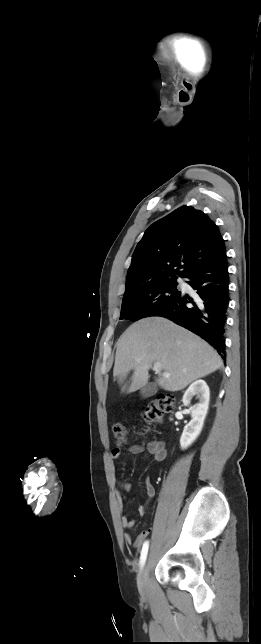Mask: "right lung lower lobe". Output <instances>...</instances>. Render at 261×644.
<instances>
[{
  "label": "right lung lower lobe",
  "instance_id": "obj_1",
  "mask_svg": "<svg viewBox=\"0 0 261 644\" xmlns=\"http://www.w3.org/2000/svg\"><path fill=\"white\" fill-rule=\"evenodd\" d=\"M198 297L184 293L154 316H163L205 339L225 359V325L229 304V273L226 256L183 276Z\"/></svg>",
  "mask_w": 261,
  "mask_h": 644
}]
</instances>
